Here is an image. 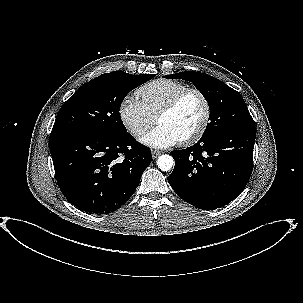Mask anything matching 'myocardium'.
I'll use <instances>...</instances> for the list:
<instances>
[{
  "label": "myocardium",
  "instance_id": "1",
  "mask_svg": "<svg viewBox=\"0 0 303 303\" xmlns=\"http://www.w3.org/2000/svg\"><path fill=\"white\" fill-rule=\"evenodd\" d=\"M189 94H196L201 99L203 104V116L198 128L193 133L180 140V143L182 144H192L197 142L203 136L209 125L211 107L206 95L197 88H187L175 95L156 116V122H159L160 118L173 112Z\"/></svg>",
  "mask_w": 303,
  "mask_h": 303
}]
</instances>
